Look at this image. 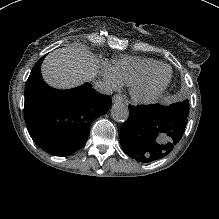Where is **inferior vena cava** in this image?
Returning a JSON list of instances; mask_svg holds the SVG:
<instances>
[{"mask_svg":"<svg viewBox=\"0 0 219 219\" xmlns=\"http://www.w3.org/2000/svg\"><path fill=\"white\" fill-rule=\"evenodd\" d=\"M94 89L104 95H111L113 93V89L110 84L103 81L94 82Z\"/></svg>","mask_w":219,"mask_h":219,"instance_id":"inferior-vena-cava-1","label":"inferior vena cava"}]
</instances>
